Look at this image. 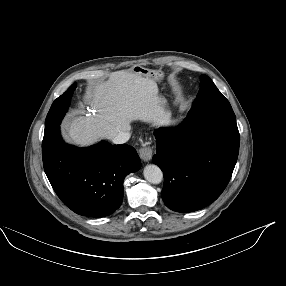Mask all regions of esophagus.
<instances>
[{
  "label": "esophagus",
  "mask_w": 286,
  "mask_h": 286,
  "mask_svg": "<svg viewBox=\"0 0 286 286\" xmlns=\"http://www.w3.org/2000/svg\"><path fill=\"white\" fill-rule=\"evenodd\" d=\"M139 156L144 162H149L153 156V149L147 142L139 151Z\"/></svg>",
  "instance_id": "1"
}]
</instances>
